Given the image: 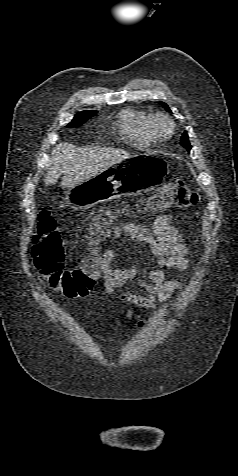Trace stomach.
Here are the masks:
<instances>
[{
    "label": "stomach",
    "mask_w": 238,
    "mask_h": 476,
    "mask_svg": "<svg viewBox=\"0 0 238 476\" xmlns=\"http://www.w3.org/2000/svg\"><path fill=\"white\" fill-rule=\"evenodd\" d=\"M168 164L161 156H124L123 160L66 191L65 201L77 210L88 209L120 195H139L162 183Z\"/></svg>",
    "instance_id": "stomach-1"
}]
</instances>
